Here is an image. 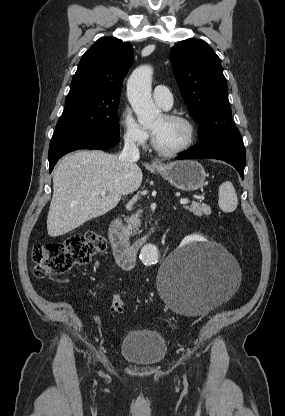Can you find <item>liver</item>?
<instances>
[{"label": "liver", "mask_w": 285, "mask_h": 416, "mask_svg": "<svg viewBox=\"0 0 285 416\" xmlns=\"http://www.w3.org/2000/svg\"><path fill=\"white\" fill-rule=\"evenodd\" d=\"M142 180L137 164L125 172L115 154L98 150L69 154L53 174L54 194L47 216L49 236H63L88 220L104 216L117 206L121 196L136 192ZM99 190L108 196H94Z\"/></svg>", "instance_id": "1"}]
</instances>
